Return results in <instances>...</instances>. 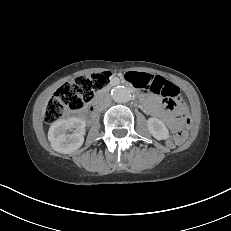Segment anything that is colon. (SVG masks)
<instances>
[{
  "mask_svg": "<svg viewBox=\"0 0 231 231\" xmlns=\"http://www.w3.org/2000/svg\"><path fill=\"white\" fill-rule=\"evenodd\" d=\"M110 72H98L86 76H80L60 86L54 97L49 101L45 110V121L53 123L59 120L67 111H78L90 103L97 93L107 87L110 81ZM140 79V76H133ZM175 86H166L160 94L169 99L177 96ZM188 118L181 114L173 131L170 144L182 142L187 135Z\"/></svg>",
  "mask_w": 231,
  "mask_h": 231,
  "instance_id": "1",
  "label": "colon"
}]
</instances>
